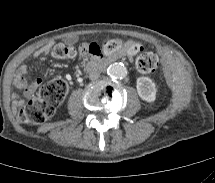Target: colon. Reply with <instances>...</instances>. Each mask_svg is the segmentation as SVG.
<instances>
[{
	"instance_id": "obj_1",
	"label": "colon",
	"mask_w": 215,
	"mask_h": 183,
	"mask_svg": "<svg viewBox=\"0 0 215 183\" xmlns=\"http://www.w3.org/2000/svg\"><path fill=\"white\" fill-rule=\"evenodd\" d=\"M82 49L92 56H114L120 53L136 56V66L142 73H151L158 67L157 55L152 52H143V47L138 42L125 44L116 39H109L101 44H83ZM51 55L55 59L73 58L76 55V49L71 44L58 43L53 47ZM67 90L68 85L62 79H55L44 84L34 97L17 107L19 121L30 125L44 123L55 114Z\"/></svg>"
}]
</instances>
